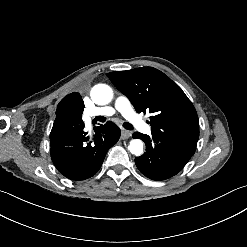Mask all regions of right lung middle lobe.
<instances>
[{
    "instance_id": "right-lung-middle-lobe-1",
    "label": "right lung middle lobe",
    "mask_w": 247,
    "mask_h": 247,
    "mask_svg": "<svg viewBox=\"0 0 247 247\" xmlns=\"http://www.w3.org/2000/svg\"><path fill=\"white\" fill-rule=\"evenodd\" d=\"M66 97H68V100L71 102H79V103L83 102L79 93H71L67 95Z\"/></svg>"
}]
</instances>
